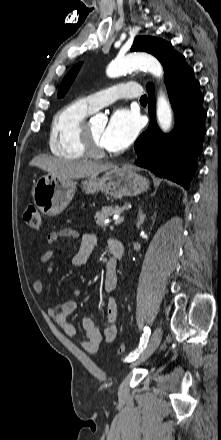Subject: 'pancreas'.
<instances>
[{"instance_id": "obj_1", "label": "pancreas", "mask_w": 221, "mask_h": 440, "mask_svg": "<svg viewBox=\"0 0 221 440\" xmlns=\"http://www.w3.org/2000/svg\"><path fill=\"white\" fill-rule=\"evenodd\" d=\"M125 209H127L126 206H105L102 208L101 211L96 212L95 214V220L96 224L100 227L105 228L108 224L105 222L107 218L114 214H121Z\"/></svg>"}]
</instances>
